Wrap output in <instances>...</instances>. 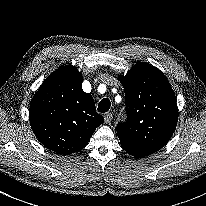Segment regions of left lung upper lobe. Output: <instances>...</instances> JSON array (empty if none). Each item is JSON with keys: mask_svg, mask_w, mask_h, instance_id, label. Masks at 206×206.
<instances>
[{"mask_svg": "<svg viewBox=\"0 0 206 206\" xmlns=\"http://www.w3.org/2000/svg\"><path fill=\"white\" fill-rule=\"evenodd\" d=\"M119 79L128 113V121L117 126L122 148L136 157L157 152L173 135L178 120L170 83L160 70L145 62L136 64Z\"/></svg>", "mask_w": 206, "mask_h": 206, "instance_id": "1", "label": "left lung upper lobe"}]
</instances>
